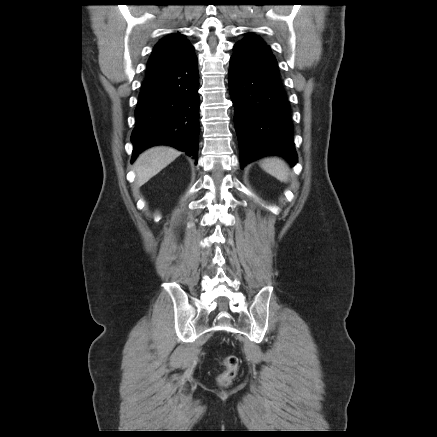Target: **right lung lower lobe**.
<instances>
[{
	"mask_svg": "<svg viewBox=\"0 0 437 437\" xmlns=\"http://www.w3.org/2000/svg\"><path fill=\"white\" fill-rule=\"evenodd\" d=\"M198 85L194 54L146 76L135 110L132 162L139 153L154 145L173 146L197 161L200 131Z\"/></svg>",
	"mask_w": 437,
	"mask_h": 437,
	"instance_id": "1",
	"label": "right lung lower lobe"
}]
</instances>
